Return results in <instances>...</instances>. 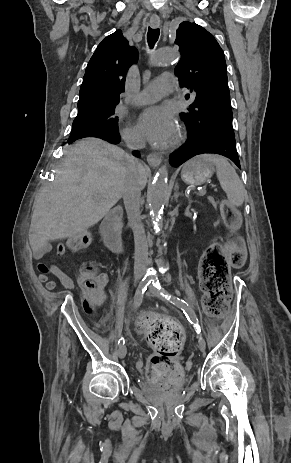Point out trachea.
I'll return each instance as SVG.
<instances>
[{
	"label": "trachea",
	"instance_id": "1",
	"mask_svg": "<svg viewBox=\"0 0 291 463\" xmlns=\"http://www.w3.org/2000/svg\"><path fill=\"white\" fill-rule=\"evenodd\" d=\"M159 34H160V31L159 29H153V28H150L148 29V33H147V41H148V45L150 48H153L155 43L157 42L158 38H159Z\"/></svg>",
	"mask_w": 291,
	"mask_h": 463
}]
</instances>
